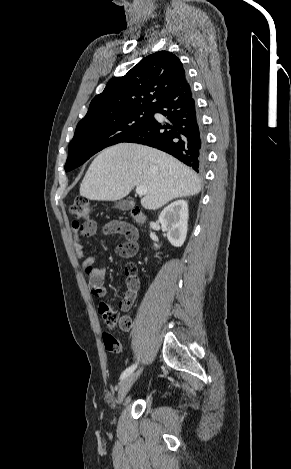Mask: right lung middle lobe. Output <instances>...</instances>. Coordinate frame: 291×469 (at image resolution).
<instances>
[{
	"mask_svg": "<svg viewBox=\"0 0 291 469\" xmlns=\"http://www.w3.org/2000/svg\"><path fill=\"white\" fill-rule=\"evenodd\" d=\"M153 110L135 109L117 115L78 123L69 144L65 171H70L100 150L120 142L150 121Z\"/></svg>",
	"mask_w": 291,
	"mask_h": 469,
	"instance_id": "1",
	"label": "right lung middle lobe"
}]
</instances>
